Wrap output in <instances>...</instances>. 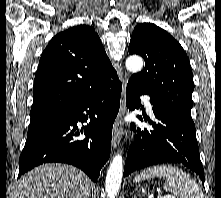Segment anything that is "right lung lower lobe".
Masks as SVG:
<instances>
[{
	"label": "right lung lower lobe",
	"instance_id": "1",
	"mask_svg": "<svg viewBox=\"0 0 221 198\" xmlns=\"http://www.w3.org/2000/svg\"><path fill=\"white\" fill-rule=\"evenodd\" d=\"M121 90L122 84L116 80L74 107L31 124L20 155L18 177L40 164L61 162L80 168L96 182L110 156ZM87 120V126L77 127L78 121ZM81 134L86 137L80 139Z\"/></svg>",
	"mask_w": 221,
	"mask_h": 198
}]
</instances>
